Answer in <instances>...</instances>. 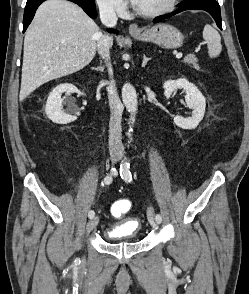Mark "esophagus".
Listing matches in <instances>:
<instances>
[{
    "label": "esophagus",
    "instance_id": "1",
    "mask_svg": "<svg viewBox=\"0 0 249 294\" xmlns=\"http://www.w3.org/2000/svg\"><path fill=\"white\" fill-rule=\"evenodd\" d=\"M140 28L136 23H133L129 26V33L130 34H138L140 33Z\"/></svg>",
    "mask_w": 249,
    "mask_h": 294
}]
</instances>
